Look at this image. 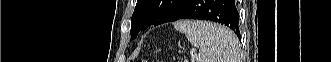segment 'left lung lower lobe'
<instances>
[{"mask_svg":"<svg viewBox=\"0 0 331 62\" xmlns=\"http://www.w3.org/2000/svg\"><path fill=\"white\" fill-rule=\"evenodd\" d=\"M210 20L224 24L231 28L240 39L239 13L235 0H184L167 22L179 19ZM150 25L143 22L136 28L138 32L145 30Z\"/></svg>","mask_w":331,"mask_h":62,"instance_id":"left-lung-lower-lobe-1","label":"left lung lower lobe"}]
</instances>
